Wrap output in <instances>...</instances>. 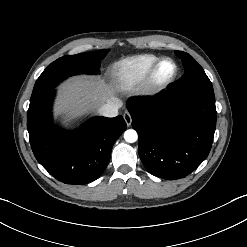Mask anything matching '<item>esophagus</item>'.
I'll return each mask as SVG.
<instances>
[{
    "mask_svg": "<svg viewBox=\"0 0 247 247\" xmlns=\"http://www.w3.org/2000/svg\"><path fill=\"white\" fill-rule=\"evenodd\" d=\"M123 118H124L127 126H130L131 122H132L131 114L128 111H125V113L123 114Z\"/></svg>",
    "mask_w": 247,
    "mask_h": 247,
    "instance_id": "obj_1",
    "label": "esophagus"
}]
</instances>
